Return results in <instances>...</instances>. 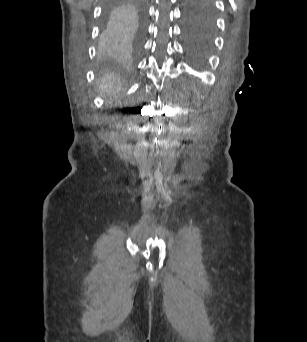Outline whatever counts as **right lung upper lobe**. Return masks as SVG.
I'll list each match as a JSON object with an SVG mask.
<instances>
[{"label":"right lung upper lobe","instance_id":"obj_1","mask_svg":"<svg viewBox=\"0 0 307 342\" xmlns=\"http://www.w3.org/2000/svg\"><path fill=\"white\" fill-rule=\"evenodd\" d=\"M124 2H114L112 3L115 7H119L130 13L134 17H139L142 12V2L141 0H119Z\"/></svg>","mask_w":307,"mask_h":342}]
</instances>
